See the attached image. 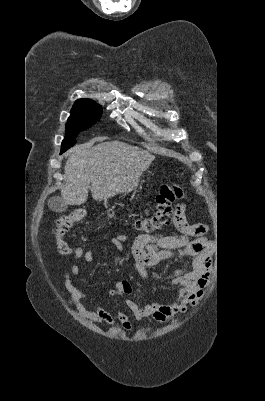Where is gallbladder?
Wrapping results in <instances>:
<instances>
[{"mask_svg":"<svg viewBox=\"0 0 265 401\" xmlns=\"http://www.w3.org/2000/svg\"><path fill=\"white\" fill-rule=\"evenodd\" d=\"M48 207L54 213H64L68 209V205L62 201L61 196H51L48 201Z\"/></svg>","mask_w":265,"mask_h":401,"instance_id":"1","label":"gallbladder"}]
</instances>
